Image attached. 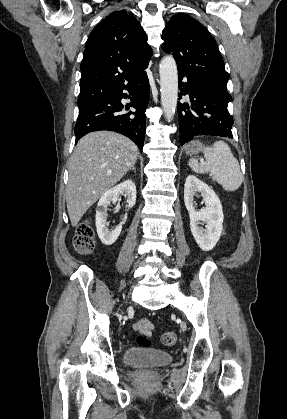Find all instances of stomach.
<instances>
[{
  "label": "stomach",
  "mask_w": 287,
  "mask_h": 419,
  "mask_svg": "<svg viewBox=\"0 0 287 419\" xmlns=\"http://www.w3.org/2000/svg\"><path fill=\"white\" fill-rule=\"evenodd\" d=\"M202 148V143L197 140H194L185 146V151L188 155L192 156L198 154L202 150Z\"/></svg>",
  "instance_id": "stomach-1"
}]
</instances>
